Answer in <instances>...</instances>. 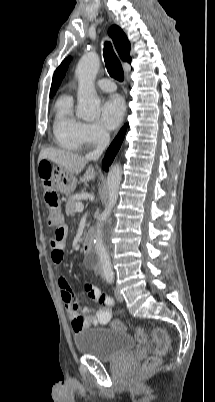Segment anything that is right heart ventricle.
<instances>
[{
  "instance_id": "right-heart-ventricle-1",
  "label": "right heart ventricle",
  "mask_w": 215,
  "mask_h": 402,
  "mask_svg": "<svg viewBox=\"0 0 215 402\" xmlns=\"http://www.w3.org/2000/svg\"><path fill=\"white\" fill-rule=\"evenodd\" d=\"M81 121L73 112L72 97L61 95L54 106L53 136L55 143L66 150H78L81 146L79 127Z\"/></svg>"
}]
</instances>
